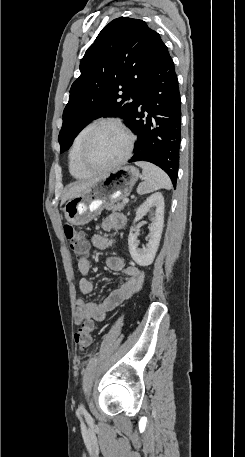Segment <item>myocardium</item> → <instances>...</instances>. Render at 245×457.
<instances>
[{"instance_id":"obj_1","label":"myocardium","mask_w":245,"mask_h":457,"mask_svg":"<svg viewBox=\"0 0 245 457\" xmlns=\"http://www.w3.org/2000/svg\"><path fill=\"white\" fill-rule=\"evenodd\" d=\"M105 128H112L121 133L127 139V145L124 152L110 165L99 169H92L85 163V152L89 147L94 136ZM135 139L133 134L123 124L116 121H101L96 123L86 134L81 147L78 150L77 161L81 169L88 175H97L102 172L111 171L124 163L131 155L134 148Z\"/></svg>"}]
</instances>
